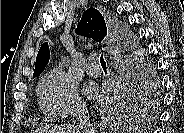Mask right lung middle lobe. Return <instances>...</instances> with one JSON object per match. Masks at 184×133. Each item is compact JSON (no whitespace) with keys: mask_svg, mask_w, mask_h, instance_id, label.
<instances>
[{"mask_svg":"<svg viewBox=\"0 0 184 133\" xmlns=\"http://www.w3.org/2000/svg\"><path fill=\"white\" fill-rule=\"evenodd\" d=\"M125 26V25H124ZM124 31L129 38L132 50L127 63V101L132 108H144L150 101V91L155 84L154 72L151 65L144 59L141 51L136 47L134 37L125 26Z\"/></svg>","mask_w":184,"mask_h":133,"instance_id":"right-lung-middle-lobe-1","label":"right lung middle lobe"}]
</instances>
